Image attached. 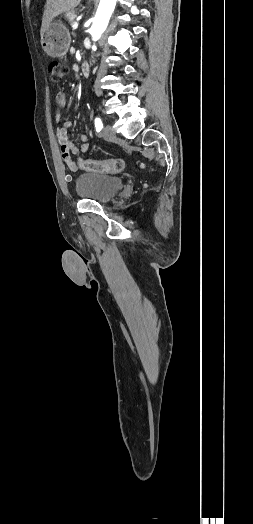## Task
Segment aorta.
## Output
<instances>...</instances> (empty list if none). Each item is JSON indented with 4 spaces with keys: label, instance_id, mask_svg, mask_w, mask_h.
Wrapping results in <instances>:
<instances>
[{
    "label": "aorta",
    "instance_id": "obj_1",
    "mask_svg": "<svg viewBox=\"0 0 253 524\" xmlns=\"http://www.w3.org/2000/svg\"><path fill=\"white\" fill-rule=\"evenodd\" d=\"M117 0H100L94 22L90 28L93 41H97L106 30Z\"/></svg>",
    "mask_w": 253,
    "mask_h": 524
}]
</instances>
